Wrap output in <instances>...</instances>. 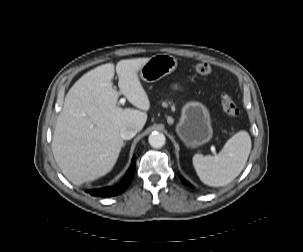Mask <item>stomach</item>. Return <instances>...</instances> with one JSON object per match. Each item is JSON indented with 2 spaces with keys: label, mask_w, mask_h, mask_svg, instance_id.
I'll use <instances>...</instances> for the list:
<instances>
[{
  "label": "stomach",
  "mask_w": 303,
  "mask_h": 252,
  "mask_svg": "<svg viewBox=\"0 0 303 252\" xmlns=\"http://www.w3.org/2000/svg\"><path fill=\"white\" fill-rule=\"evenodd\" d=\"M176 67L175 57L160 54L152 56L141 67L139 73L142 80L153 83L173 72ZM175 130L188 148H196L209 142L213 136L209 110L201 102H187L182 107L181 117Z\"/></svg>",
  "instance_id": "obj_1"
}]
</instances>
